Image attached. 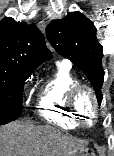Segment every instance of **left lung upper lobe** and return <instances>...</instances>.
Wrapping results in <instances>:
<instances>
[{
  "mask_svg": "<svg viewBox=\"0 0 114 156\" xmlns=\"http://www.w3.org/2000/svg\"><path fill=\"white\" fill-rule=\"evenodd\" d=\"M46 34L55 50L70 59L89 78L100 104L104 78L103 49L97 41L93 22L80 12L69 13L61 20L51 21Z\"/></svg>",
  "mask_w": 114,
  "mask_h": 156,
  "instance_id": "1",
  "label": "left lung upper lobe"
}]
</instances>
